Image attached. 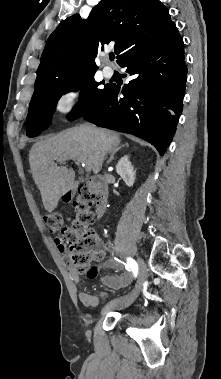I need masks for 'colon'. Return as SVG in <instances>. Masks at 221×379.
<instances>
[{
    "label": "colon",
    "mask_w": 221,
    "mask_h": 379,
    "mask_svg": "<svg viewBox=\"0 0 221 379\" xmlns=\"http://www.w3.org/2000/svg\"><path fill=\"white\" fill-rule=\"evenodd\" d=\"M101 196L102 193L98 190L82 189L73 202L75 217L66 227L63 226V218L59 213H47L43 217L50 233L58 235V244L63 249H69L72 264L82 274L88 272L89 265L103 255L97 247L96 234L90 227L93 222L91 208Z\"/></svg>",
    "instance_id": "5ec220e1"
}]
</instances>
